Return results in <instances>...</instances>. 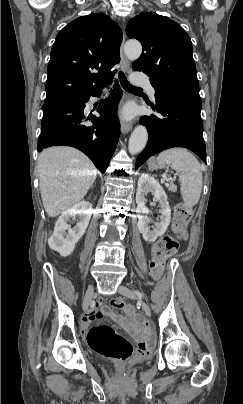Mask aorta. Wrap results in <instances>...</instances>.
Here are the masks:
<instances>
[{
    "label": "aorta",
    "mask_w": 243,
    "mask_h": 404,
    "mask_svg": "<svg viewBox=\"0 0 243 404\" xmlns=\"http://www.w3.org/2000/svg\"><path fill=\"white\" fill-rule=\"evenodd\" d=\"M124 54L127 60H138L142 54V46L138 40H128L124 44ZM148 142V132L145 126L134 128L128 144L129 154H140Z\"/></svg>",
    "instance_id": "obj_1"
}]
</instances>
